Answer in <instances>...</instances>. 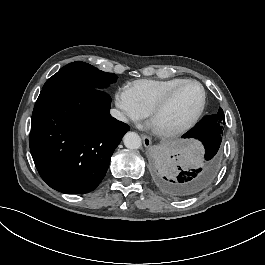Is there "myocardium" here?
<instances>
[{
    "label": "myocardium",
    "instance_id": "obj_1",
    "mask_svg": "<svg viewBox=\"0 0 265 265\" xmlns=\"http://www.w3.org/2000/svg\"><path fill=\"white\" fill-rule=\"evenodd\" d=\"M188 83H196L201 88L202 101L199 108L188 120H186L181 125L170 129L159 128L156 124L158 116L173 102V100L175 99L181 88ZM207 100H208L207 90L201 81L194 78L184 79L181 82H179L176 86H174V88L162 100H160L150 111L149 127L155 135L162 138H171L182 135L188 130H190L200 119V117L205 111Z\"/></svg>",
    "mask_w": 265,
    "mask_h": 265
}]
</instances>
